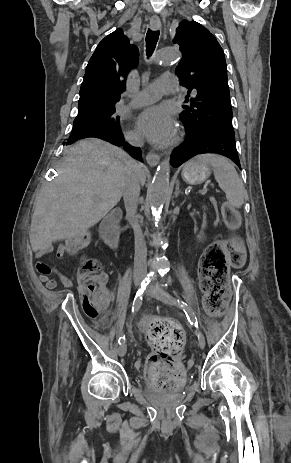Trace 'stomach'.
I'll list each match as a JSON object with an SVG mask.
<instances>
[{
  "label": "stomach",
  "instance_id": "obj_1",
  "mask_svg": "<svg viewBox=\"0 0 291 463\" xmlns=\"http://www.w3.org/2000/svg\"><path fill=\"white\" fill-rule=\"evenodd\" d=\"M210 174L211 165L198 159L186 163L182 170V178L189 184L202 183Z\"/></svg>",
  "mask_w": 291,
  "mask_h": 463
}]
</instances>
